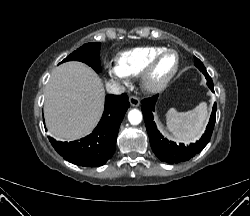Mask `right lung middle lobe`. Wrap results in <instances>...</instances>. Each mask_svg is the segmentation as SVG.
Instances as JSON below:
<instances>
[{
	"instance_id": "1",
	"label": "right lung middle lobe",
	"mask_w": 250,
	"mask_h": 216,
	"mask_svg": "<svg viewBox=\"0 0 250 216\" xmlns=\"http://www.w3.org/2000/svg\"><path fill=\"white\" fill-rule=\"evenodd\" d=\"M100 43H88L71 53L62 62L78 60L91 66L97 73L101 71Z\"/></svg>"
}]
</instances>
